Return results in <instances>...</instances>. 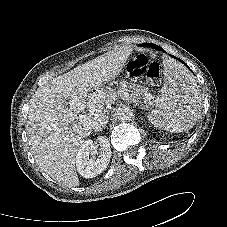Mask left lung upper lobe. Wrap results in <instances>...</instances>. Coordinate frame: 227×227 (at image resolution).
Instances as JSON below:
<instances>
[{
	"label": "left lung upper lobe",
	"mask_w": 227,
	"mask_h": 227,
	"mask_svg": "<svg viewBox=\"0 0 227 227\" xmlns=\"http://www.w3.org/2000/svg\"><path fill=\"white\" fill-rule=\"evenodd\" d=\"M143 45H144V46H147V45H148V46H149V45L152 46L153 44L145 43V44H143ZM154 45H155V44H154Z\"/></svg>",
	"instance_id": "obj_1"
}]
</instances>
